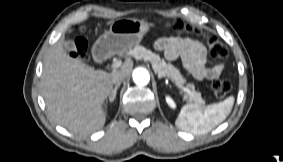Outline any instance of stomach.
Returning <instances> with one entry per match:
<instances>
[{
  "instance_id": "1",
  "label": "stomach",
  "mask_w": 283,
  "mask_h": 162,
  "mask_svg": "<svg viewBox=\"0 0 283 162\" xmlns=\"http://www.w3.org/2000/svg\"><path fill=\"white\" fill-rule=\"evenodd\" d=\"M151 27L152 24L145 19H118L96 41L93 53L97 59H103L108 55L130 51L139 45Z\"/></svg>"
}]
</instances>
